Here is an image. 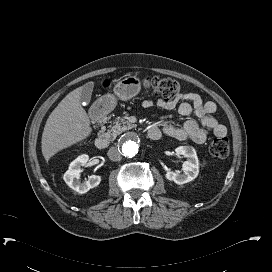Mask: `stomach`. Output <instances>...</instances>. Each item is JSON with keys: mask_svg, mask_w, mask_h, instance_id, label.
<instances>
[{"mask_svg": "<svg viewBox=\"0 0 272 272\" xmlns=\"http://www.w3.org/2000/svg\"><path fill=\"white\" fill-rule=\"evenodd\" d=\"M141 90L140 79L135 75H128L124 79L118 81L114 86L115 95L108 94L100 99L106 111H112L116 104L117 98L127 101L135 97Z\"/></svg>", "mask_w": 272, "mask_h": 272, "instance_id": "stomach-1", "label": "stomach"}]
</instances>
